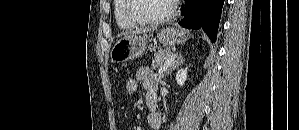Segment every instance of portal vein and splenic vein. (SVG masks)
<instances>
[{"mask_svg":"<svg viewBox=\"0 0 299 130\" xmlns=\"http://www.w3.org/2000/svg\"><path fill=\"white\" fill-rule=\"evenodd\" d=\"M175 58H176V55H175V54H172V55L169 57L167 63H166L164 66H162V67L159 68L158 73H163V72H165V70L171 65V63L175 60Z\"/></svg>","mask_w":299,"mask_h":130,"instance_id":"portal-vein-and-splenic-vein-1","label":"portal vein and splenic vein"}]
</instances>
